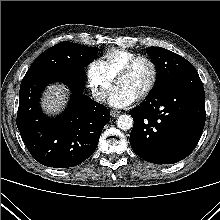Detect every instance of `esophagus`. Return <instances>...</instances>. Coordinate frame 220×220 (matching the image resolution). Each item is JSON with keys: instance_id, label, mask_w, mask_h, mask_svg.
<instances>
[{"instance_id": "obj_1", "label": "esophagus", "mask_w": 220, "mask_h": 220, "mask_svg": "<svg viewBox=\"0 0 220 220\" xmlns=\"http://www.w3.org/2000/svg\"><path fill=\"white\" fill-rule=\"evenodd\" d=\"M110 114H111L112 117H117V116L120 115V112H119V111H116V110H111V111H110Z\"/></svg>"}]
</instances>
